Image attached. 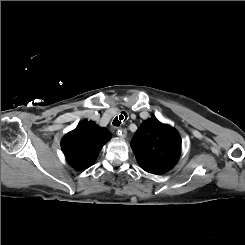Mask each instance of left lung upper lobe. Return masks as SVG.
<instances>
[{"label":"left lung upper lobe","mask_w":245,"mask_h":245,"mask_svg":"<svg viewBox=\"0 0 245 245\" xmlns=\"http://www.w3.org/2000/svg\"><path fill=\"white\" fill-rule=\"evenodd\" d=\"M181 143L175 128L151 118L140 125L132 138L131 147L141 168L159 175L176 165Z\"/></svg>","instance_id":"5c2ea615"}]
</instances>
